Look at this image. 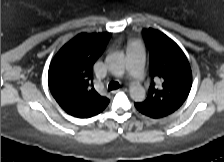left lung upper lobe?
<instances>
[{"instance_id": "left-lung-upper-lobe-1", "label": "left lung upper lobe", "mask_w": 224, "mask_h": 162, "mask_svg": "<svg viewBox=\"0 0 224 162\" xmlns=\"http://www.w3.org/2000/svg\"><path fill=\"white\" fill-rule=\"evenodd\" d=\"M152 82L145 101L135 107L148 116H166L186 100L192 86L189 62L180 47L165 34L149 28L145 34Z\"/></svg>"}]
</instances>
